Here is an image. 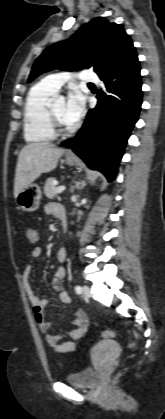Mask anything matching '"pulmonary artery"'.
<instances>
[{
    "instance_id": "1",
    "label": "pulmonary artery",
    "mask_w": 165,
    "mask_h": 419,
    "mask_svg": "<svg viewBox=\"0 0 165 419\" xmlns=\"http://www.w3.org/2000/svg\"><path fill=\"white\" fill-rule=\"evenodd\" d=\"M77 78L82 82L97 83L98 75L92 69H84L79 74L73 75L66 72L53 73L46 76L41 82L50 90L58 91L66 81Z\"/></svg>"
}]
</instances>
